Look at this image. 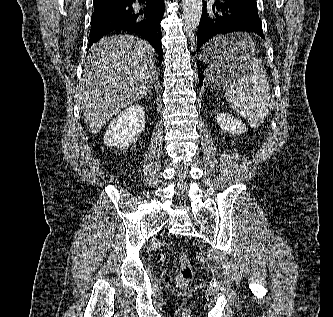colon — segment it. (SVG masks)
<instances>
[{
  "instance_id": "1",
  "label": "colon",
  "mask_w": 333,
  "mask_h": 317,
  "mask_svg": "<svg viewBox=\"0 0 333 317\" xmlns=\"http://www.w3.org/2000/svg\"><path fill=\"white\" fill-rule=\"evenodd\" d=\"M179 272L176 277V285L179 288H185L194 278V268L185 253L179 255Z\"/></svg>"
}]
</instances>
